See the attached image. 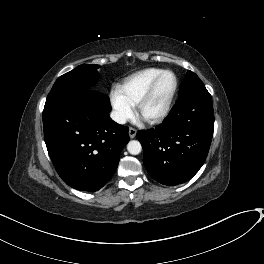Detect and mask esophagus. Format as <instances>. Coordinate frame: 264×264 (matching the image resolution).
<instances>
[{"mask_svg": "<svg viewBox=\"0 0 264 264\" xmlns=\"http://www.w3.org/2000/svg\"><path fill=\"white\" fill-rule=\"evenodd\" d=\"M128 132H129V136H130V138L133 139V138L136 137V134H137V130H136V129L130 127Z\"/></svg>", "mask_w": 264, "mask_h": 264, "instance_id": "obj_1", "label": "esophagus"}]
</instances>
